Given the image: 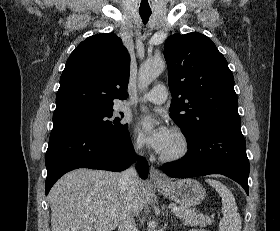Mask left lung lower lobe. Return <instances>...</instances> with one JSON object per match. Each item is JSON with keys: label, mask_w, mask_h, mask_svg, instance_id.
Segmentation results:
<instances>
[{"label": "left lung lower lobe", "mask_w": 280, "mask_h": 231, "mask_svg": "<svg viewBox=\"0 0 280 231\" xmlns=\"http://www.w3.org/2000/svg\"><path fill=\"white\" fill-rule=\"evenodd\" d=\"M188 152L179 161L166 163L163 172L173 178L222 174L249 194V160L241 125L210 127L187 138Z\"/></svg>", "instance_id": "0a47b994"}]
</instances>
